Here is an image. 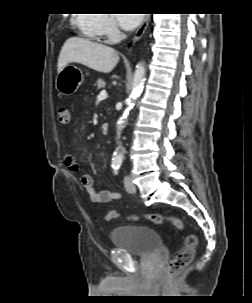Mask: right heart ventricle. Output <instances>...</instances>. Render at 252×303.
<instances>
[{
    "label": "right heart ventricle",
    "instance_id": "obj_1",
    "mask_svg": "<svg viewBox=\"0 0 252 303\" xmlns=\"http://www.w3.org/2000/svg\"><path fill=\"white\" fill-rule=\"evenodd\" d=\"M98 16L99 15L94 14H79V17L76 18V22L88 36L101 38L103 35L97 28Z\"/></svg>",
    "mask_w": 252,
    "mask_h": 303
}]
</instances>
